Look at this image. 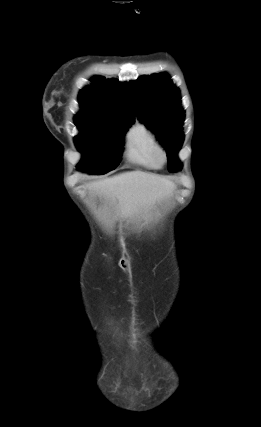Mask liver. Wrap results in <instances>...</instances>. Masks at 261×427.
Instances as JSON below:
<instances>
[{
    "label": "liver",
    "instance_id": "obj_1",
    "mask_svg": "<svg viewBox=\"0 0 261 427\" xmlns=\"http://www.w3.org/2000/svg\"><path fill=\"white\" fill-rule=\"evenodd\" d=\"M89 188L117 201L120 213L128 218L171 196L175 186L166 178L141 171H130L93 182Z\"/></svg>",
    "mask_w": 261,
    "mask_h": 427
}]
</instances>
